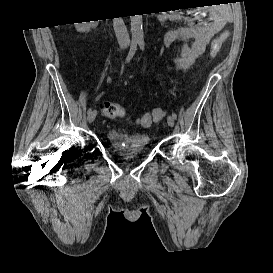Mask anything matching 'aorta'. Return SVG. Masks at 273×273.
I'll return each instance as SVG.
<instances>
[{
	"label": "aorta",
	"mask_w": 273,
	"mask_h": 273,
	"mask_svg": "<svg viewBox=\"0 0 273 273\" xmlns=\"http://www.w3.org/2000/svg\"><path fill=\"white\" fill-rule=\"evenodd\" d=\"M132 40L136 42L143 41V20L142 15L130 16Z\"/></svg>",
	"instance_id": "1"
}]
</instances>
